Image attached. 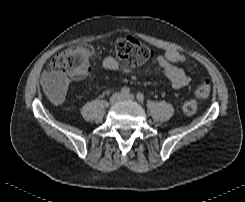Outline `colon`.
Listing matches in <instances>:
<instances>
[{"instance_id": "colon-1", "label": "colon", "mask_w": 245, "mask_h": 202, "mask_svg": "<svg viewBox=\"0 0 245 202\" xmlns=\"http://www.w3.org/2000/svg\"><path fill=\"white\" fill-rule=\"evenodd\" d=\"M115 50L117 59L121 63L131 66H140L155 56L150 46L128 34L116 41ZM92 55L93 47L90 44L73 45L52 58L51 71L73 80L84 79L92 71ZM211 92L212 83L206 79L196 88L194 98L183 104L182 112L187 116L193 115L197 110V101L207 98Z\"/></svg>"}]
</instances>
